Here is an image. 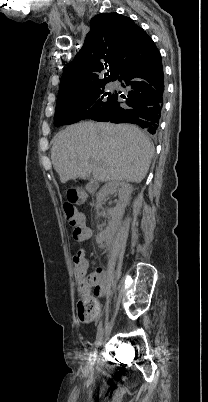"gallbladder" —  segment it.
<instances>
[{
  "label": "gallbladder",
  "instance_id": "bac80fb5",
  "mask_svg": "<svg viewBox=\"0 0 208 402\" xmlns=\"http://www.w3.org/2000/svg\"><path fill=\"white\" fill-rule=\"evenodd\" d=\"M87 187H88V189L93 190V189H95L96 184H95V182L90 181V182H88Z\"/></svg>",
  "mask_w": 208,
  "mask_h": 402
}]
</instances>
